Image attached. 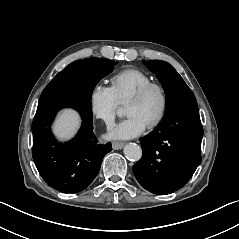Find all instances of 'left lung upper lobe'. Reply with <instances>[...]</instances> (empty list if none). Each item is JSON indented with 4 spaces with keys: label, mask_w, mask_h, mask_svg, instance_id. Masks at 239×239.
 Segmentation results:
<instances>
[{
    "label": "left lung upper lobe",
    "mask_w": 239,
    "mask_h": 239,
    "mask_svg": "<svg viewBox=\"0 0 239 239\" xmlns=\"http://www.w3.org/2000/svg\"><path fill=\"white\" fill-rule=\"evenodd\" d=\"M156 74L166 94V113L176 105L196 100L194 94L177 71L167 62L161 60L144 61Z\"/></svg>",
    "instance_id": "1"
}]
</instances>
